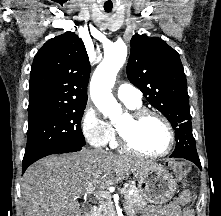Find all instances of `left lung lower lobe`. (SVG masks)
Wrapping results in <instances>:
<instances>
[{"label": "left lung lower lobe", "instance_id": "obj_1", "mask_svg": "<svg viewBox=\"0 0 221 216\" xmlns=\"http://www.w3.org/2000/svg\"><path fill=\"white\" fill-rule=\"evenodd\" d=\"M170 157L187 159L195 163L200 169L202 168L197 152L190 146L176 144L175 150Z\"/></svg>", "mask_w": 221, "mask_h": 216}]
</instances>
